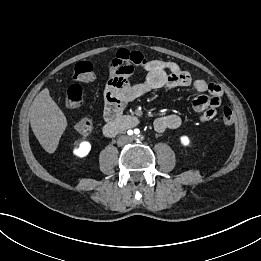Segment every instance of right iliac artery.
<instances>
[{
    "label": "right iliac artery",
    "mask_w": 261,
    "mask_h": 261,
    "mask_svg": "<svg viewBox=\"0 0 261 261\" xmlns=\"http://www.w3.org/2000/svg\"><path fill=\"white\" fill-rule=\"evenodd\" d=\"M128 134L131 135V134H133V132H132V131H129Z\"/></svg>",
    "instance_id": "right-iliac-artery-1"
}]
</instances>
